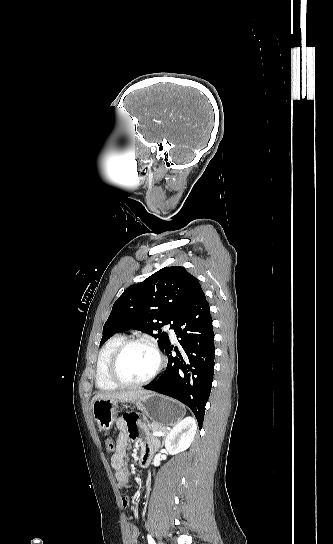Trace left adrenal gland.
Masks as SVG:
<instances>
[{
	"mask_svg": "<svg viewBox=\"0 0 333 544\" xmlns=\"http://www.w3.org/2000/svg\"><path fill=\"white\" fill-rule=\"evenodd\" d=\"M165 436H166V434L163 436V440H164ZM161 446H163V441H162V445H161Z\"/></svg>",
	"mask_w": 333,
	"mask_h": 544,
	"instance_id": "a2214340",
	"label": "left adrenal gland"
}]
</instances>
